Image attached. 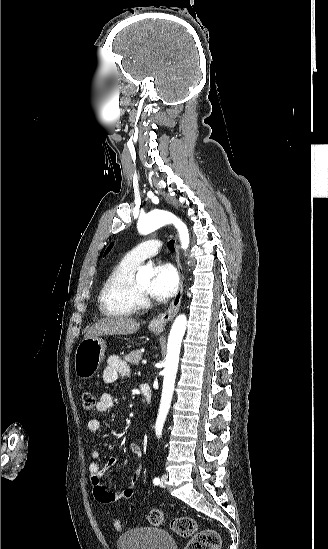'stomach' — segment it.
I'll return each instance as SVG.
<instances>
[{
	"label": "stomach",
	"instance_id": "1",
	"mask_svg": "<svg viewBox=\"0 0 328 549\" xmlns=\"http://www.w3.org/2000/svg\"><path fill=\"white\" fill-rule=\"evenodd\" d=\"M150 329L157 331L159 327L151 325ZM105 349L106 343L99 337L81 341L75 353V373L79 379L86 381V379L94 377L104 359Z\"/></svg>",
	"mask_w": 328,
	"mask_h": 549
}]
</instances>
